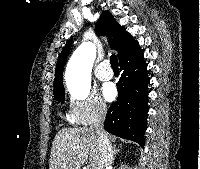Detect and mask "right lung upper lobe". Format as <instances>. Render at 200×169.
Listing matches in <instances>:
<instances>
[{"instance_id":"cb5924a9","label":"right lung upper lobe","mask_w":200,"mask_h":169,"mask_svg":"<svg viewBox=\"0 0 200 169\" xmlns=\"http://www.w3.org/2000/svg\"><path fill=\"white\" fill-rule=\"evenodd\" d=\"M95 31L98 35L107 34L111 48L118 51L119 61L131 57L141 51L138 42L120 26L109 11H104L96 23ZM72 40H69L63 48L59 61L56 66L54 79V93L64 92L63 69Z\"/></svg>"}]
</instances>
